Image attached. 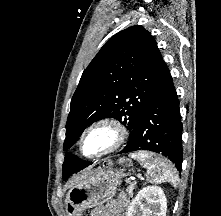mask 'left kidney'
<instances>
[{"mask_svg": "<svg viewBox=\"0 0 221 216\" xmlns=\"http://www.w3.org/2000/svg\"><path fill=\"white\" fill-rule=\"evenodd\" d=\"M167 199L160 187L147 186L138 192L128 207L127 216H166Z\"/></svg>", "mask_w": 221, "mask_h": 216, "instance_id": "obj_1", "label": "left kidney"}]
</instances>
